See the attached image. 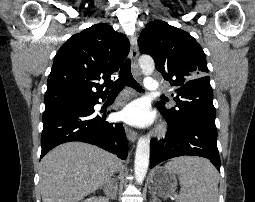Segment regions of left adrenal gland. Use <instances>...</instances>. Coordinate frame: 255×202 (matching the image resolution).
<instances>
[{
  "instance_id": "1",
  "label": "left adrenal gland",
  "mask_w": 255,
  "mask_h": 202,
  "mask_svg": "<svg viewBox=\"0 0 255 202\" xmlns=\"http://www.w3.org/2000/svg\"><path fill=\"white\" fill-rule=\"evenodd\" d=\"M157 201H158V199L155 196H153L151 202H157Z\"/></svg>"
}]
</instances>
